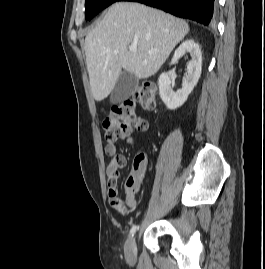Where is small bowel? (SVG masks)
I'll return each instance as SVG.
<instances>
[{"label": "small bowel", "instance_id": "1", "mask_svg": "<svg viewBox=\"0 0 265 269\" xmlns=\"http://www.w3.org/2000/svg\"><path fill=\"white\" fill-rule=\"evenodd\" d=\"M144 126L139 131H146L148 124L144 119H141ZM130 145H134L131 137L127 138ZM105 153L110 158V162L106 167L107 185H108V201L112 208L120 213H127L130 209H134L137 204L136 195L140 189L142 179L146 170V156L141 153L136 156L132 171L125 183V199L118 196L117 183L120 177L121 170L126 166V158L117 153V148L114 143H108L105 146Z\"/></svg>", "mask_w": 265, "mask_h": 269}]
</instances>
